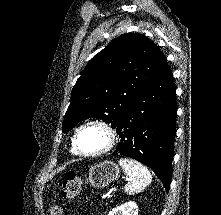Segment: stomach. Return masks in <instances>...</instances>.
Masks as SVG:
<instances>
[{
    "label": "stomach",
    "mask_w": 221,
    "mask_h": 215,
    "mask_svg": "<svg viewBox=\"0 0 221 215\" xmlns=\"http://www.w3.org/2000/svg\"><path fill=\"white\" fill-rule=\"evenodd\" d=\"M120 175L119 166L111 161H104L91 166L88 173L90 185L94 188H104Z\"/></svg>",
    "instance_id": "1"
}]
</instances>
